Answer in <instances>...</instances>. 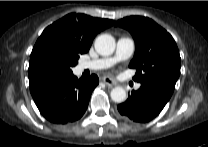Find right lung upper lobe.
<instances>
[{"mask_svg": "<svg viewBox=\"0 0 208 147\" xmlns=\"http://www.w3.org/2000/svg\"><path fill=\"white\" fill-rule=\"evenodd\" d=\"M109 19L71 13L48 26L38 38L29 62V84L42 78L58 76L54 60L62 55L89 51L97 33L112 26Z\"/></svg>", "mask_w": 208, "mask_h": 147, "instance_id": "right-lung-upper-lobe-1", "label": "right lung upper lobe"}]
</instances>
